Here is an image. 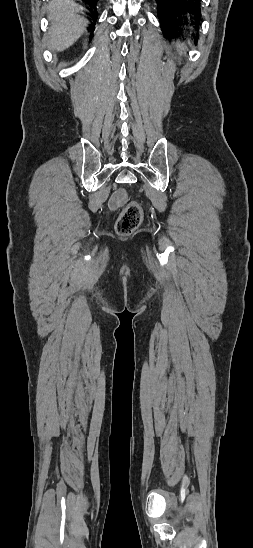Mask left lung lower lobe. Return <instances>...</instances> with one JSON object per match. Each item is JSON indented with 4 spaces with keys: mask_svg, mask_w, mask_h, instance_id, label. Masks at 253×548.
I'll list each match as a JSON object with an SVG mask.
<instances>
[{
    "mask_svg": "<svg viewBox=\"0 0 253 548\" xmlns=\"http://www.w3.org/2000/svg\"><path fill=\"white\" fill-rule=\"evenodd\" d=\"M162 32L167 36L181 25V17L190 14L201 17L200 0H155Z\"/></svg>",
    "mask_w": 253,
    "mask_h": 548,
    "instance_id": "1",
    "label": "left lung lower lobe"
}]
</instances>
